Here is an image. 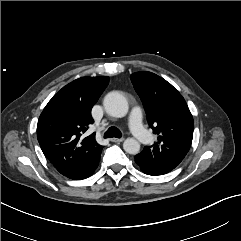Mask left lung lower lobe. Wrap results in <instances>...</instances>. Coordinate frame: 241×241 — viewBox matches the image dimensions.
Instances as JSON below:
<instances>
[{
  "label": "left lung lower lobe",
  "instance_id": "obj_1",
  "mask_svg": "<svg viewBox=\"0 0 241 241\" xmlns=\"http://www.w3.org/2000/svg\"><path fill=\"white\" fill-rule=\"evenodd\" d=\"M139 167L141 171L144 172L145 174L153 175V176L163 175L171 171V169L166 167L142 166V165H139Z\"/></svg>",
  "mask_w": 241,
  "mask_h": 241
}]
</instances>
